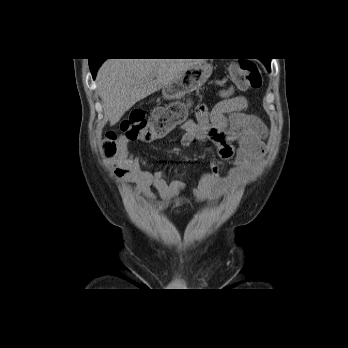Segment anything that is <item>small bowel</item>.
<instances>
[{"label":"small bowel","instance_id":"c3829d8e","mask_svg":"<svg viewBox=\"0 0 348 348\" xmlns=\"http://www.w3.org/2000/svg\"><path fill=\"white\" fill-rule=\"evenodd\" d=\"M218 95L220 100L211 110L205 104L199 105L196 119L187 120L180 127L182 145L204 140L215 150L213 167L202 174L195 188L187 189L181 175L151 171V165L129 148L126 137L120 138L122 148L108 162L115 175L134 183L144 199H152V188H155L164 199L157 203L161 210L190 199L213 201L230 194L258 168L265 152L263 138L267 128L257 117L244 112L247 99L236 95L233 87L219 90ZM228 162L233 166L223 176L224 165Z\"/></svg>","mask_w":348,"mask_h":348}]
</instances>
